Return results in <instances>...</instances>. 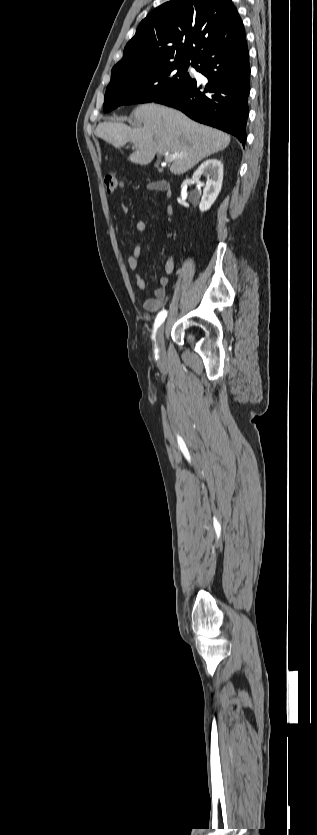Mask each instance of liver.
<instances>
[{
  "label": "liver",
  "instance_id": "obj_1",
  "mask_svg": "<svg viewBox=\"0 0 317 835\" xmlns=\"http://www.w3.org/2000/svg\"><path fill=\"white\" fill-rule=\"evenodd\" d=\"M132 116L139 126L132 128L119 121L101 122L95 135L118 149L127 142L133 143L134 151L128 159L135 164L146 165L157 153H170L176 155L170 171L180 175L230 143L228 134L156 103L138 106Z\"/></svg>",
  "mask_w": 317,
  "mask_h": 835
}]
</instances>
